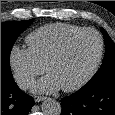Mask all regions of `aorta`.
<instances>
[{"instance_id":"aorta-1","label":"aorta","mask_w":115,"mask_h":115,"mask_svg":"<svg viewBox=\"0 0 115 115\" xmlns=\"http://www.w3.org/2000/svg\"><path fill=\"white\" fill-rule=\"evenodd\" d=\"M41 108L44 115H60L62 111L60 103L51 98L46 99Z\"/></svg>"}]
</instances>
